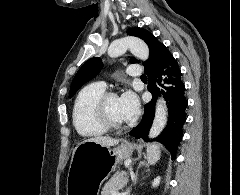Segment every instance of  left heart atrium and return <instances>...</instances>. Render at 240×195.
<instances>
[{
	"label": "left heart atrium",
	"mask_w": 240,
	"mask_h": 195,
	"mask_svg": "<svg viewBox=\"0 0 240 195\" xmlns=\"http://www.w3.org/2000/svg\"><path fill=\"white\" fill-rule=\"evenodd\" d=\"M120 105L125 121H131L136 118L139 113V100L132 91L124 92L120 98Z\"/></svg>",
	"instance_id": "1"
}]
</instances>
